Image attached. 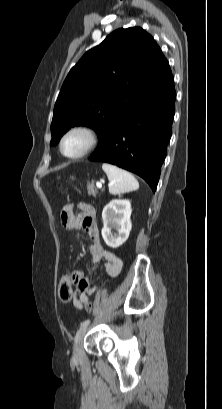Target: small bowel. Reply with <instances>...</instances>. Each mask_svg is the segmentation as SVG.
I'll return each instance as SVG.
<instances>
[{
	"label": "small bowel",
	"instance_id": "obj_1",
	"mask_svg": "<svg viewBox=\"0 0 222 409\" xmlns=\"http://www.w3.org/2000/svg\"><path fill=\"white\" fill-rule=\"evenodd\" d=\"M80 214L75 217L73 204H66L61 211L62 225L66 230L76 231L84 230L91 240L89 252L92 256V269L102 260L105 261V268L109 277L116 276L122 268V260L113 252L106 250L101 243L98 228L95 224L96 211L94 207L86 202L78 204ZM85 271L83 269H72L69 277L74 285L73 305L81 310L85 303H88L90 296L95 293L96 287H90L87 279L83 278Z\"/></svg>",
	"mask_w": 222,
	"mask_h": 409
}]
</instances>
